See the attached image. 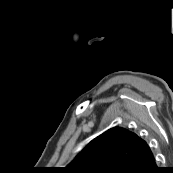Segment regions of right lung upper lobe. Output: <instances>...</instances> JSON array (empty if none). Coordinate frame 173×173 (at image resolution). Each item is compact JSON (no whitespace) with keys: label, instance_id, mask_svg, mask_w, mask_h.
<instances>
[{"label":"right lung upper lobe","instance_id":"right-lung-upper-lobe-1","mask_svg":"<svg viewBox=\"0 0 173 173\" xmlns=\"http://www.w3.org/2000/svg\"><path fill=\"white\" fill-rule=\"evenodd\" d=\"M147 143L124 128L114 127L92 140L63 173H124L151 155Z\"/></svg>","mask_w":173,"mask_h":173}]
</instances>
